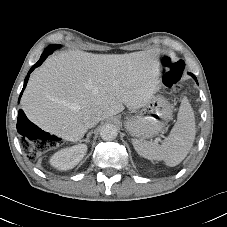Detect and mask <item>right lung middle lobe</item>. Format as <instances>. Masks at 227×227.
I'll list each match as a JSON object with an SVG mask.
<instances>
[{"label":"right lung middle lobe","instance_id":"right-lung-middle-lobe-1","mask_svg":"<svg viewBox=\"0 0 227 227\" xmlns=\"http://www.w3.org/2000/svg\"><path fill=\"white\" fill-rule=\"evenodd\" d=\"M54 47V49H58L61 47V45H58V44H55V45H52Z\"/></svg>","mask_w":227,"mask_h":227}]
</instances>
